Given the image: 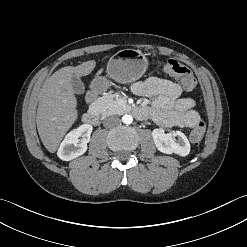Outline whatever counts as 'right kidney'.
<instances>
[{
  "mask_svg": "<svg viewBox=\"0 0 247 247\" xmlns=\"http://www.w3.org/2000/svg\"><path fill=\"white\" fill-rule=\"evenodd\" d=\"M92 130L91 124H83L70 131L58 149V157L61 160L70 161L83 155L87 151Z\"/></svg>",
  "mask_w": 247,
  "mask_h": 247,
  "instance_id": "1",
  "label": "right kidney"
}]
</instances>
